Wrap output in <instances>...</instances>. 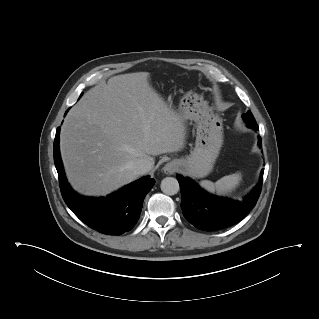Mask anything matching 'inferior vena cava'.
I'll return each mask as SVG.
<instances>
[{
	"mask_svg": "<svg viewBox=\"0 0 319 319\" xmlns=\"http://www.w3.org/2000/svg\"><path fill=\"white\" fill-rule=\"evenodd\" d=\"M153 163L150 159H138L132 164V171L136 175H142L151 170Z\"/></svg>",
	"mask_w": 319,
	"mask_h": 319,
	"instance_id": "inferior-vena-cava-1",
	"label": "inferior vena cava"
}]
</instances>
